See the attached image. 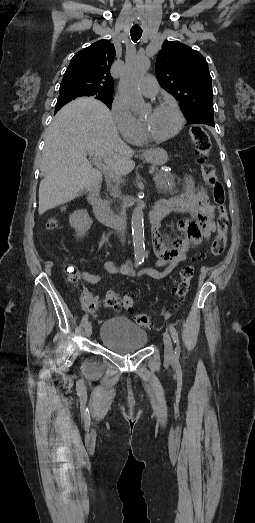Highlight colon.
<instances>
[{"instance_id": "5ec220e1", "label": "colon", "mask_w": 255, "mask_h": 523, "mask_svg": "<svg viewBox=\"0 0 255 523\" xmlns=\"http://www.w3.org/2000/svg\"><path fill=\"white\" fill-rule=\"evenodd\" d=\"M190 137L198 154V163L201 167L203 180L211 189L217 211V233L210 244L209 252L213 255H220L226 246V235L229 225V217L226 209L225 189L217 176L215 167L213 164L207 161L211 150V140L206 130L201 126H193L190 129ZM57 226L58 221L56 218H51L47 223L48 230H54L57 228ZM205 256L206 253L201 252L193 260L202 259ZM66 272L70 281H76L79 278L77 270L72 266H67ZM193 275L194 266L192 264L186 265L180 271L179 277L175 281L173 287V296L177 302L183 301V299L186 297ZM84 305L87 309L94 310L97 307V302L90 297H85ZM103 305L107 308H116L121 306L125 310L132 311L134 307V298L131 293H125L120 297L115 292H108L104 297ZM134 320L141 327L148 328L152 325L151 317L145 313L136 314Z\"/></svg>"}]
</instances>
